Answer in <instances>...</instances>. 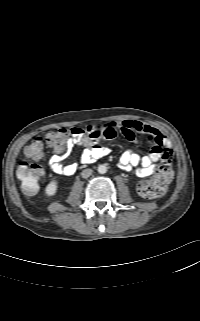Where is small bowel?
Instances as JSON below:
<instances>
[{
  "label": "small bowel",
  "instance_id": "obj_1",
  "mask_svg": "<svg viewBox=\"0 0 200 321\" xmlns=\"http://www.w3.org/2000/svg\"><path fill=\"white\" fill-rule=\"evenodd\" d=\"M71 137L65 150L53 149L54 155L49 159V168L57 174L70 176L77 171V164H63V158L68 149L74 144L85 147L81 159L84 163H90L108 154V150L99 145V140L92 139L90 134L99 131L106 136L114 138L118 133L126 139L136 142L138 134L145 135L151 144V150L147 155H140L133 151L124 152L119 159V164L126 171L134 170L139 177H148L157 171V162L164 160L172 149L169 139L157 128L140 121L123 120L120 122L94 123L86 129L72 128ZM109 138V139H111ZM104 139H107L104 137Z\"/></svg>",
  "mask_w": 200,
  "mask_h": 321
}]
</instances>
